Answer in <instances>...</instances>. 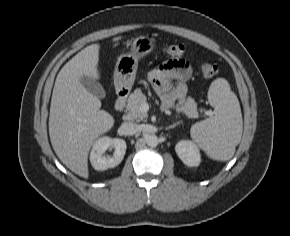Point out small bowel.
Returning <instances> with one entry per match:
<instances>
[{"label": "small bowel", "mask_w": 290, "mask_h": 236, "mask_svg": "<svg viewBox=\"0 0 290 236\" xmlns=\"http://www.w3.org/2000/svg\"><path fill=\"white\" fill-rule=\"evenodd\" d=\"M191 75V67L181 60L166 61L150 73L149 79L161 98L163 109L185 101Z\"/></svg>", "instance_id": "1"}]
</instances>
